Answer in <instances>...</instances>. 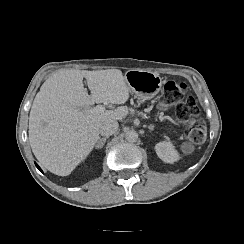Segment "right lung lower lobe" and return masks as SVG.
I'll return each mask as SVG.
<instances>
[{
	"label": "right lung lower lobe",
	"mask_w": 244,
	"mask_h": 244,
	"mask_svg": "<svg viewBox=\"0 0 244 244\" xmlns=\"http://www.w3.org/2000/svg\"><path fill=\"white\" fill-rule=\"evenodd\" d=\"M35 165L37 166V168L42 172L41 168L35 163Z\"/></svg>",
	"instance_id": "1"
}]
</instances>
